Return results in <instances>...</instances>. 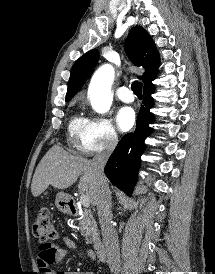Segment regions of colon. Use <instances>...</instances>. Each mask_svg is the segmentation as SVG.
Listing matches in <instances>:
<instances>
[{"label":"colon","instance_id":"5ec220e1","mask_svg":"<svg viewBox=\"0 0 215 274\" xmlns=\"http://www.w3.org/2000/svg\"><path fill=\"white\" fill-rule=\"evenodd\" d=\"M34 236L43 244H52L57 237L56 229L51 221L50 212L43 208L39 211L33 225Z\"/></svg>","mask_w":215,"mask_h":274}]
</instances>
